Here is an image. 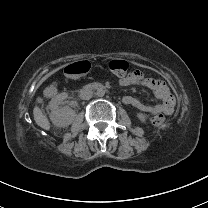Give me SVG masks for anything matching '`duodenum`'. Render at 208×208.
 Listing matches in <instances>:
<instances>
[{
    "label": "duodenum",
    "instance_id": "obj_1",
    "mask_svg": "<svg viewBox=\"0 0 208 208\" xmlns=\"http://www.w3.org/2000/svg\"><path fill=\"white\" fill-rule=\"evenodd\" d=\"M87 89H95V90H101L103 89V85L102 84H99V83H92V84H89L87 87Z\"/></svg>",
    "mask_w": 208,
    "mask_h": 208
}]
</instances>
